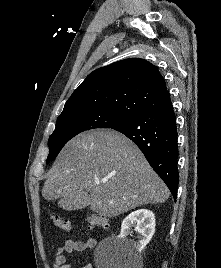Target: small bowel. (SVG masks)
Wrapping results in <instances>:
<instances>
[{"mask_svg":"<svg viewBox=\"0 0 221 268\" xmlns=\"http://www.w3.org/2000/svg\"><path fill=\"white\" fill-rule=\"evenodd\" d=\"M96 244L97 241L94 238H89L86 241L72 239L65 241V243L58 247L56 251L53 265L54 268H71V265L67 261L68 254L93 249ZM83 268H93V266L88 263Z\"/></svg>","mask_w":221,"mask_h":268,"instance_id":"small-bowel-1","label":"small bowel"}]
</instances>
